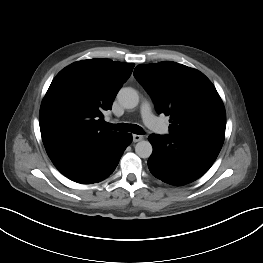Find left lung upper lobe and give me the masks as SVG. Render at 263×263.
<instances>
[{
	"mask_svg": "<svg viewBox=\"0 0 263 263\" xmlns=\"http://www.w3.org/2000/svg\"><path fill=\"white\" fill-rule=\"evenodd\" d=\"M134 76L159 113L169 115L170 134H186L223 144L226 114L210 80L196 69L162 61L138 65Z\"/></svg>",
	"mask_w": 263,
	"mask_h": 263,
	"instance_id": "1",
	"label": "left lung upper lobe"
}]
</instances>
